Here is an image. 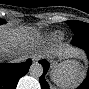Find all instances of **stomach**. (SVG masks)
Here are the masks:
<instances>
[{
  "label": "stomach",
  "mask_w": 89,
  "mask_h": 89,
  "mask_svg": "<svg viewBox=\"0 0 89 89\" xmlns=\"http://www.w3.org/2000/svg\"><path fill=\"white\" fill-rule=\"evenodd\" d=\"M56 65H58L56 62L53 63V66L55 67Z\"/></svg>",
  "instance_id": "obj_1"
}]
</instances>
